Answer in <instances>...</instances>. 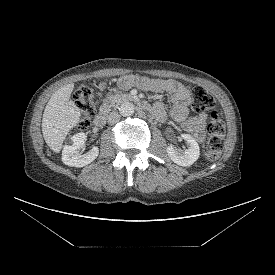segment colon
Here are the masks:
<instances>
[{
	"mask_svg": "<svg viewBox=\"0 0 275 275\" xmlns=\"http://www.w3.org/2000/svg\"><path fill=\"white\" fill-rule=\"evenodd\" d=\"M193 109L197 112L211 110L215 107L214 98L201 87L192 92ZM74 100L82 113L81 126L85 127L96 112V101L90 85L83 84L74 94ZM208 142L204 155L208 160L220 157L224 145L225 124L218 111H212L207 125Z\"/></svg>",
	"mask_w": 275,
	"mask_h": 275,
	"instance_id": "5ec220e1",
	"label": "colon"
}]
</instances>
